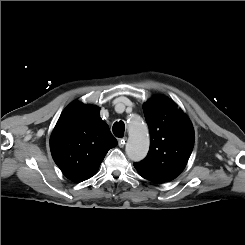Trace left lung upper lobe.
<instances>
[{"label": "left lung upper lobe", "instance_id": "1", "mask_svg": "<svg viewBox=\"0 0 245 245\" xmlns=\"http://www.w3.org/2000/svg\"><path fill=\"white\" fill-rule=\"evenodd\" d=\"M143 111L150 131V149L134 167L146 177L172 181L182 173L193 150V125L181 108L165 96L152 97L143 105Z\"/></svg>", "mask_w": 245, "mask_h": 245}]
</instances>
